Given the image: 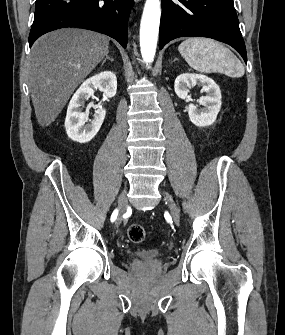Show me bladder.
Listing matches in <instances>:
<instances>
[{
	"instance_id": "obj_1",
	"label": "bladder",
	"mask_w": 285,
	"mask_h": 335,
	"mask_svg": "<svg viewBox=\"0 0 285 335\" xmlns=\"http://www.w3.org/2000/svg\"><path fill=\"white\" fill-rule=\"evenodd\" d=\"M131 256L140 264H148L158 261L162 256V252L155 248H146L136 252H131Z\"/></svg>"
}]
</instances>
